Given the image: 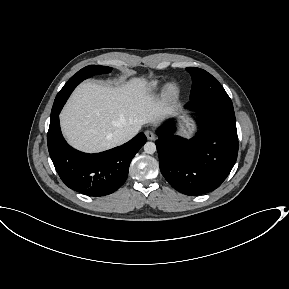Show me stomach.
<instances>
[{"mask_svg":"<svg viewBox=\"0 0 289 289\" xmlns=\"http://www.w3.org/2000/svg\"><path fill=\"white\" fill-rule=\"evenodd\" d=\"M180 127V134L188 136L193 128V124L188 119L182 117Z\"/></svg>","mask_w":289,"mask_h":289,"instance_id":"obj_1","label":"stomach"}]
</instances>
